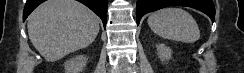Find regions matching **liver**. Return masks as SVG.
<instances>
[{"mask_svg":"<svg viewBox=\"0 0 244 73\" xmlns=\"http://www.w3.org/2000/svg\"><path fill=\"white\" fill-rule=\"evenodd\" d=\"M28 34L49 62L89 46L99 33V18L75 0H48L28 17Z\"/></svg>","mask_w":244,"mask_h":73,"instance_id":"6515ba94","label":"liver"}]
</instances>
